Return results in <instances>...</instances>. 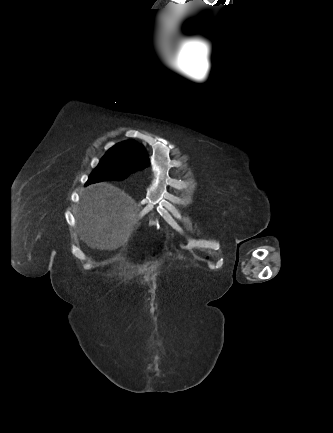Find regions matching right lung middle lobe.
I'll return each mask as SVG.
<instances>
[{
	"instance_id": "obj_1",
	"label": "right lung middle lobe",
	"mask_w": 333,
	"mask_h": 433,
	"mask_svg": "<svg viewBox=\"0 0 333 433\" xmlns=\"http://www.w3.org/2000/svg\"><path fill=\"white\" fill-rule=\"evenodd\" d=\"M146 166L148 165L140 164L130 158H118L106 154L89 176L87 184L107 180H123L131 172L143 169Z\"/></svg>"
}]
</instances>
